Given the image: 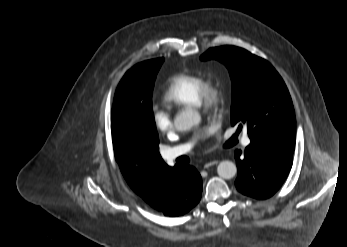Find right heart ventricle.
<instances>
[{
    "instance_id": "1",
    "label": "right heart ventricle",
    "mask_w": 347,
    "mask_h": 247,
    "mask_svg": "<svg viewBox=\"0 0 347 247\" xmlns=\"http://www.w3.org/2000/svg\"><path fill=\"white\" fill-rule=\"evenodd\" d=\"M203 78L194 73H178L169 78L162 94L163 101L174 107L198 106Z\"/></svg>"
}]
</instances>
